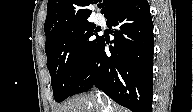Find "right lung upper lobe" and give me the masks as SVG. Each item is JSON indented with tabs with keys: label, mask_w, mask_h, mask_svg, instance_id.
I'll return each instance as SVG.
<instances>
[{
	"label": "right lung upper lobe",
	"mask_w": 193,
	"mask_h": 112,
	"mask_svg": "<svg viewBox=\"0 0 193 112\" xmlns=\"http://www.w3.org/2000/svg\"><path fill=\"white\" fill-rule=\"evenodd\" d=\"M130 1L103 0L101 13L108 19ZM98 2L101 0H48L44 25L46 42L67 28L89 24L88 18L92 13L89 7Z\"/></svg>",
	"instance_id": "1"
}]
</instances>
